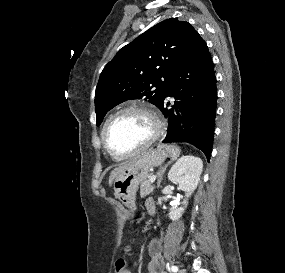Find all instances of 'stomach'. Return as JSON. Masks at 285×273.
<instances>
[{
  "mask_svg": "<svg viewBox=\"0 0 285 273\" xmlns=\"http://www.w3.org/2000/svg\"><path fill=\"white\" fill-rule=\"evenodd\" d=\"M168 153L163 147L149 150L122 170L114 181L116 197L128 208L135 207L138 186L149 176V170L160 166Z\"/></svg>",
  "mask_w": 285,
  "mask_h": 273,
  "instance_id": "1",
  "label": "stomach"
}]
</instances>
